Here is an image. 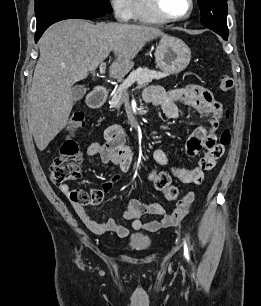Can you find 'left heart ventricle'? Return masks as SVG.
<instances>
[{"label":"left heart ventricle","instance_id":"1","mask_svg":"<svg viewBox=\"0 0 261 306\" xmlns=\"http://www.w3.org/2000/svg\"><path fill=\"white\" fill-rule=\"evenodd\" d=\"M162 10L171 17L182 16L189 9L188 0H159Z\"/></svg>","mask_w":261,"mask_h":306}]
</instances>
